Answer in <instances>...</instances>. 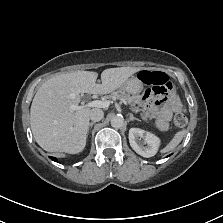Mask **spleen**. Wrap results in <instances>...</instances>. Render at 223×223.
<instances>
[{"label":"spleen","mask_w":223,"mask_h":223,"mask_svg":"<svg viewBox=\"0 0 223 223\" xmlns=\"http://www.w3.org/2000/svg\"><path fill=\"white\" fill-rule=\"evenodd\" d=\"M183 135H184L183 132H178L173 141L169 144L167 148L163 150V152H168L173 150L181 142Z\"/></svg>","instance_id":"1"}]
</instances>
